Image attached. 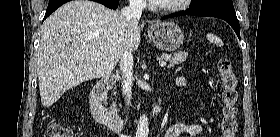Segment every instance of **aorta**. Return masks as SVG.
Returning a JSON list of instances; mask_svg holds the SVG:
<instances>
[{
  "mask_svg": "<svg viewBox=\"0 0 280 137\" xmlns=\"http://www.w3.org/2000/svg\"><path fill=\"white\" fill-rule=\"evenodd\" d=\"M149 134V124L146 115H141L138 120V125L136 129V137H148Z\"/></svg>",
  "mask_w": 280,
  "mask_h": 137,
  "instance_id": "obj_1",
  "label": "aorta"
}]
</instances>
